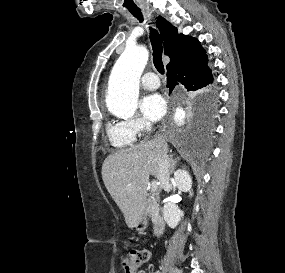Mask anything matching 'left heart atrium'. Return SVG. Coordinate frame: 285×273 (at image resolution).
<instances>
[{
  "mask_svg": "<svg viewBox=\"0 0 285 273\" xmlns=\"http://www.w3.org/2000/svg\"><path fill=\"white\" fill-rule=\"evenodd\" d=\"M140 109L145 118L159 120L166 112V103L159 94H151L142 99Z\"/></svg>",
  "mask_w": 285,
  "mask_h": 273,
  "instance_id": "obj_1",
  "label": "left heart atrium"
}]
</instances>
